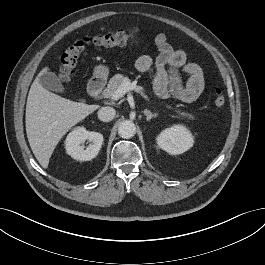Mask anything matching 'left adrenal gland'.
Here are the masks:
<instances>
[{"instance_id": "obj_1", "label": "left adrenal gland", "mask_w": 265, "mask_h": 265, "mask_svg": "<svg viewBox=\"0 0 265 265\" xmlns=\"http://www.w3.org/2000/svg\"><path fill=\"white\" fill-rule=\"evenodd\" d=\"M144 114L147 116V121H150L152 118L157 117L156 113L153 114L151 111L147 109L144 110Z\"/></svg>"}]
</instances>
